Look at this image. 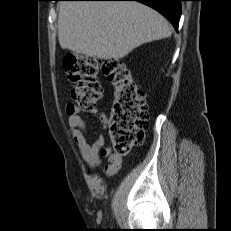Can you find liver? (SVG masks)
Returning <instances> with one entry per match:
<instances>
[{
	"label": "liver",
	"instance_id": "obj_1",
	"mask_svg": "<svg viewBox=\"0 0 231 231\" xmlns=\"http://www.w3.org/2000/svg\"><path fill=\"white\" fill-rule=\"evenodd\" d=\"M172 28L157 11L133 1H64L58 14L62 49L119 60L136 47L170 37Z\"/></svg>",
	"mask_w": 231,
	"mask_h": 231
}]
</instances>
